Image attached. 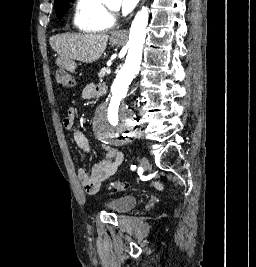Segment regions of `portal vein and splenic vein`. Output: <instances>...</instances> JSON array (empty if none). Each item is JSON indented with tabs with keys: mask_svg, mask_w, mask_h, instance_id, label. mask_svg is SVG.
Returning a JSON list of instances; mask_svg holds the SVG:
<instances>
[{
	"mask_svg": "<svg viewBox=\"0 0 256 267\" xmlns=\"http://www.w3.org/2000/svg\"><path fill=\"white\" fill-rule=\"evenodd\" d=\"M105 73H106V74H110V73H111L110 68H107V69L105 70Z\"/></svg>",
	"mask_w": 256,
	"mask_h": 267,
	"instance_id": "18ae733b",
	"label": "portal vein and splenic vein"
}]
</instances>
